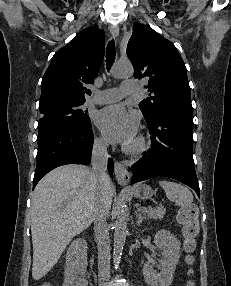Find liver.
Wrapping results in <instances>:
<instances>
[{"label":"liver","mask_w":231,"mask_h":286,"mask_svg":"<svg viewBox=\"0 0 231 286\" xmlns=\"http://www.w3.org/2000/svg\"><path fill=\"white\" fill-rule=\"evenodd\" d=\"M102 191L109 211L114 191L110 180ZM96 194L92 170L81 165L60 166L39 181L31 203L34 280L44 277L72 238L89 227Z\"/></svg>","instance_id":"6515ba94"}]
</instances>
